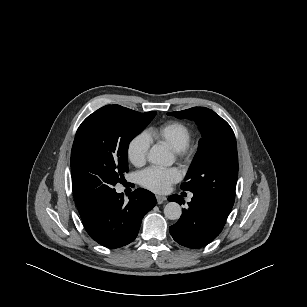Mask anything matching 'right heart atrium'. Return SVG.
Listing matches in <instances>:
<instances>
[{"label": "right heart atrium", "instance_id": "d8ad5b80", "mask_svg": "<svg viewBox=\"0 0 307 307\" xmlns=\"http://www.w3.org/2000/svg\"><path fill=\"white\" fill-rule=\"evenodd\" d=\"M150 148V142L144 134L133 137L127 145V158L134 166H142L146 163Z\"/></svg>", "mask_w": 307, "mask_h": 307}]
</instances>
